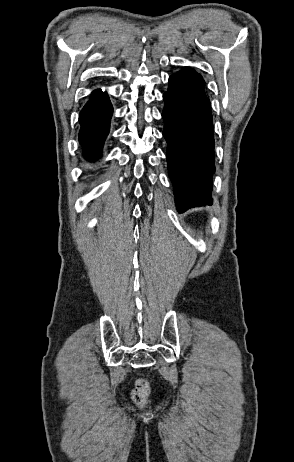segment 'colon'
Returning <instances> with one entry per match:
<instances>
[{"instance_id": "5ec220e1", "label": "colon", "mask_w": 294, "mask_h": 462, "mask_svg": "<svg viewBox=\"0 0 294 462\" xmlns=\"http://www.w3.org/2000/svg\"><path fill=\"white\" fill-rule=\"evenodd\" d=\"M149 386L146 380L139 379L133 392V399L137 404L143 405L147 401Z\"/></svg>"}]
</instances>
